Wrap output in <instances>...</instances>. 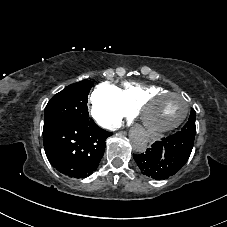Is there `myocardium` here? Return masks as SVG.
I'll list each match as a JSON object with an SVG mask.
<instances>
[{"label":"myocardium","mask_w":227,"mask_h":227,"mask_svg":"<svg viewBox=\"0 0 227 227\" xmlns=\"http://www.w3.org/2000/svg\"><path fill=\"white\" fill-rule=\"evenodd\" d=\"M166 95L180 96L185 100L186 106H185L183 115L175 123H173L172 125L166 128H153L144 124L143 116H142V111L144 110V108L152 101ZM189 110H190V102L185 93L180 91L164 90V91L155 92V93L146 95L144 98H142L136 105L134 109V113H135V116L137 117V121L145 128L146 132L160 133V132H171L177 129L186 120L189 114Z\"/></svg>","instance_id":"obj_1"}]
</instances>
